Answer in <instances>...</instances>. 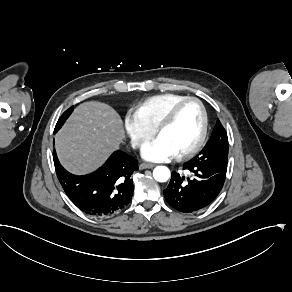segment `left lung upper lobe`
<instances>
[{
  "label": "left lung upper lobe",
  "mask_w": 292,
  "mask_h": 292,
  "mask_svg": "<svg viewBox=\"0 0 292 292\" xmlns=\"http://www.w3.org/2000/svg\"><path fill=\"white\" fill-rule=\"evenodd\" d=\"M194 159L201 160L205 164L227 166L228 137L219 120L216 122L209 141Z\"/></svg>",
  "instance_id": "1"
}]
</instances>
